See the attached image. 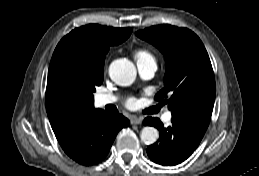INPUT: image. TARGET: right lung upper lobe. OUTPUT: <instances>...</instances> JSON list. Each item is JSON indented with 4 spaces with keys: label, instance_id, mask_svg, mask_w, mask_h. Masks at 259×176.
<instances>
[{
    "label": "right lung upper lobe",
    "instance_id": "1",
    "mask_svg": "<svg viewBox=\"0 0 259 176\" xmlns=\"http://www.w3.org/2000/svg\"><path fill=\"white\" fill-rule=\"evenodd\" d=\"M131 33V28L89 24L72 30L58 43L46 87V111L58 140L100 110L94 108L87 76L103 72L110 46L122 43Z\"/></svg>",
    "mask_w": 259,
    "mask_h": 176
}]
</instances>
